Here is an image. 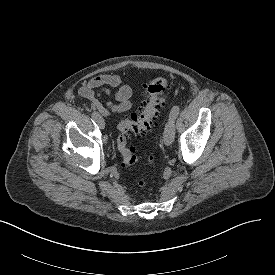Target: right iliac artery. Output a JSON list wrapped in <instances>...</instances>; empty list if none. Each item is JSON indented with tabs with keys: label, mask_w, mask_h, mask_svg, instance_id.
Segmentation results:
<instances>
[{
	"label": "right iliac artery",
	"mask_w": 275,
	"mask_h": 275,
	"mask_svg": "<svg viewBox=\"0 0 275 275\" xmlns=\"http://www.w3.org/2000/svg\"><path fill=\"white\" fill-rule=\"evenodd\" d=\"M91 116H92V118H93L94 120H96V119L98 118V116H99V113L96 112V111H94V112H92Z\"/></svg>",
	"instance_id": "obj_1"
}]
</instances>
